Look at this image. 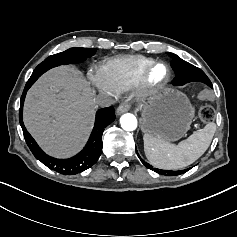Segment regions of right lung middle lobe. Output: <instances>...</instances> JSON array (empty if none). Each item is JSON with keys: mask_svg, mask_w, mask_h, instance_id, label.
Masks as SVG:
<instances>
[{"mask_svg": "<svg viewBox=\"0 0 237 237\" xmlns=\"http://www.w3.org/2000/svg\"><path fill=\"white\" fill-rule=\"evenodd\" d=\"M96 49L93 48H71L64 52L51 55L40 63L33 71L30 79L36 81L47 70L70 63H80L86 58L91 57Z\"/></svg>", "mask_w": 237, "mask_h": 237, "instance_id": "dd1d6c3e", "label": "right lung middle lobe"}]
</instances>
